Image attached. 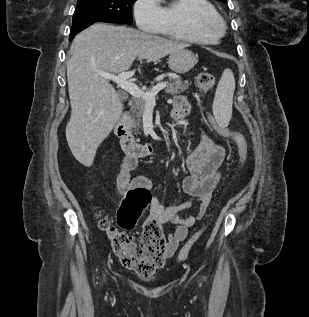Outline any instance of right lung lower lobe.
<instances>
[{
    "label": "right lung lower lobe",
    "mask_w": 309,
    "mask_h": 317,
    "mask_svg": "<svg viewBox=\"0 0 309 317\" xmlns=\"http://www.w3.org/2000/svg\"><path fill=\"white\" fill-rule=\"evenodd\" d=\"M96 22H102V21L88 20V21H83V22H80V23L73 25L71 32H70L69 41H71L78 32L84 30L85 28L89 27L90 25H92L93 23H96Z\"/></svg>",
    "instance_id": "obj_1"
}]
</instances>
